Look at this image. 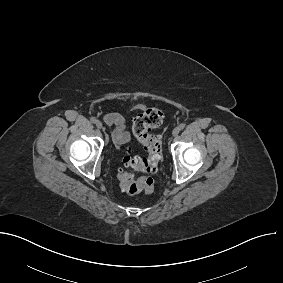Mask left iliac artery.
Listing matches in <instances>:
<instances>
[{
  "label": "left iliac artery",
  "instance_id": "obj_1",
  "mask_svg": "<svg viewBox=\"0 0 283 283\" xmlns=\"http://www.w3.org/2000/svg\"><path fill=\"white\" fill-rule=\"evenodd\" d=\"M179 130H183L185 128V124L184 123H181L179 126H178Z\"/></svg>",
  "mask_w": 283,
  "mask_h": 283
}]
</instances>
